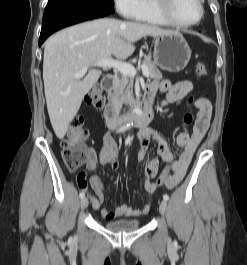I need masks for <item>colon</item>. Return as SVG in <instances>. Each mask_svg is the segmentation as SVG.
Returning <instances> with one entry per match:
<instances>
[{"label":"colon","instance_id":"1","mask_svg":"<svg viewBox=\"0 0 247 265\" xmlns=\"http://www.w3.org/2000/svg\"><path fill=\"white\" fill-rule=\"evenodd\" d=\"M196 73L200 77L207 75V69L202 63L196 66ZM85 103L89 106L100 107L103 103V91L100 86L94 87L85 97ZM193 119L191 113H186L183 117L185 124H189ZM89 138L88 131L84 128L82 117H74L67 131L66 136L62 140V157L71 171L77 170L87 159V140ZM166 165L161 171L155 184L157 187L164 185L171 177L173 172L172 162H165ZM83 175V173H80Z\"/></svg>","mask_w":247,"mask_h":265}]
</instances>
